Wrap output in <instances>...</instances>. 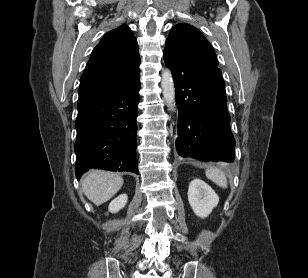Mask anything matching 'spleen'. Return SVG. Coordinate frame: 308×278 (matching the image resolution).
<instances>
[{
  "instance_id": "spleen-1",
  "label": "spleen",
  "mask_w": 308,
  "mask_h": 278,
  "mask_svg": "<svg viewBox=\"0 0 308 278\" xmlns=\"http://www.w3.org/2000/svg\"><path fill=\"white\" fill-rule=\"evenodd\" d=\"M206 177L222 188H227L228 182L225 173L218 168H209Z\"/></svg>"
}]
</instances>
